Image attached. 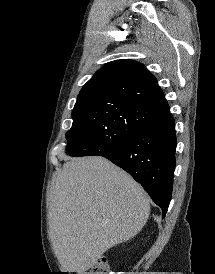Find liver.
Instances as JSON below:
<instances>
[{
	"label": "liver",
	"mask_w": 215,
	"mask_h": 274,
	"mask_svg": "<svg viewBox=\"0 0 215 274\" xmlns=\"http://www.w3.org/2000/svg\"><path fill=\"white\" fill-rule=\"evenodd\" d=\"M149 213L141 185L109 160L69 159L53 182L49 209L62 269L84 274L108 249L137 235Z\"/></svg>",
	"instance_id": "6515ba94"
}]
</instances>
